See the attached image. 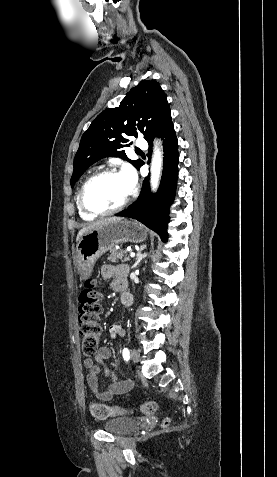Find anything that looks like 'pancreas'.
Segmentation results:
<instances>
[{"mask_svg":"<svg viewBox=\"0 0 277 477\" xmlns=\"http://www.w3.org/2000/svg\"><path fill=\"white\" fill-rule=\"evenodd\" d=\"M108 260H111L112 262H118V261L125 262V261H129L130 258L127 257L126 251L111 249L110 255L108 256Z\"/></svg>","mask_w":277,"mask_h":477,"instance_id":"pancreas-1","label":"pancreas"}]
</instances>
